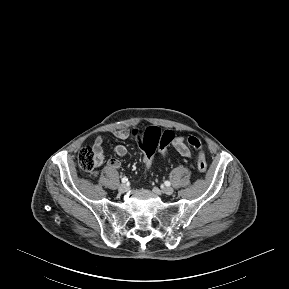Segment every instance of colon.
I'll list each match as a JSON object with an SVG mask.
<instances>
[{"label":"colon","instance_id":"5ec220e1","mask_svg":"<svg viewBox=\"0 0 289 289\" xmlns=\"http://www.w3.org/2000/svg\"><path fill=\"white\" fill-rule=\"evenodd\" d=\"M137 137L142 151V160L146 168H150L156 151L165 156L168 146L175 140L173 131L166 130L162 132L158 127H148L142 134L137 133ZM187 142L198 151L197 168L201 173H205L207 161L202 150V142L193 136L189 137ZM78 164L86 174H91L99 165V156L91 147H84L79 151Z\"/></svg>","mask_w":289,"mask_h":289}]
</instances>
